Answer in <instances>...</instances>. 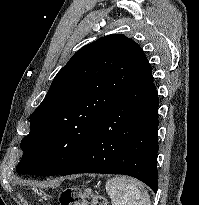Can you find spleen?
I'll use <instances>...</instances> for the list:
<instances>
[{
  "instance_id": "spleen-1",
  "label": "spleen",
  "mask_w": 199,
  "mask_h": 205,
  "mask_svg": "<svg viewBox=\"0 0 199 205\" xmlns=\"http://www.w3.org/2000/svg\"><path fill=\"white\" fill-rule=\"evenodd\" d=\"M106 191L112 205H151L150 196L139 181L116 176L106 182Z\"/></svg>"
}]
</instances>
